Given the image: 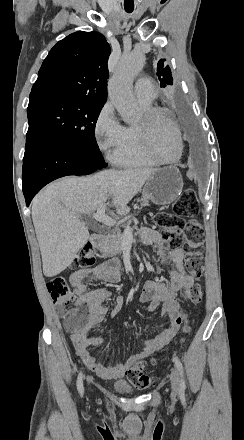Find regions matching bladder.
<instances>
[{"label": "bladder", "mask_w": 244, "mask_h": 440, "mask_svg": "<svg viewBox=\"0 0 244 440\" xmlns=\"http://www.w3.org/2000/svg\"><path fill=\"white\" fill-rule=\"evenodd\" d=\"M114 386L121 393L132 394V388L128 382H114Z\"/></svg>", "instance_id": "obj_1"}]
</instances>
